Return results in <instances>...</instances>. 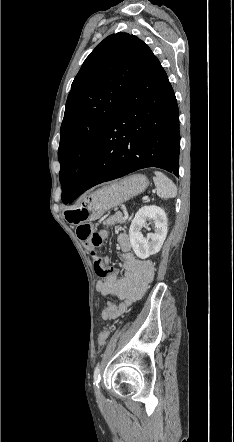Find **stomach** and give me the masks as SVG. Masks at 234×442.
<instances>
[{
    "instance_id": "stomach-1",
    "label": "stomach",
    "mask_w": 234,
    "mask_h": 442,
    "mask_svg": "<svg viewBox=\"0 0 234 442\" xmlns=\"http://www.w3.org/2000/svg\"><path fill=\"white\" fill-rule=\"evenodd\" d=\"M148 184L145 175L133 174L118 182L99 188L87 194L77 206L65 211V219L72 225L97 220L110 208L143 193Z\"/></svg>"
}]
</instances>
